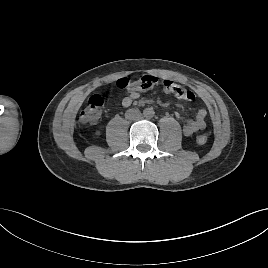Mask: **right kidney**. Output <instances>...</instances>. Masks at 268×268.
Instances as JSON below:
<instances>
[{
	"mask_svg": "<svg viewBox=\"0 0 268 268\" xmlns=\"http://www.w3.org/2000/svg\"><path fill=\"white\" fill-rule=\"evenodd\" d=\"M95 134H96L97 136H99V135H100V132H99V131H97Z\"/></svg>",
	"mask_w": 268,
	"mask_h": 268,
	"instance_id": "ca27d5eb",
	"label": "right kidney"
}]
</instances>
